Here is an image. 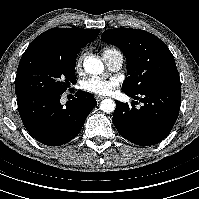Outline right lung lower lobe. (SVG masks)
<instances>
[{
	"label": "right lung lower lobe",
	"mask_w": 199,
	"mask_h": 199,
	"mask_svg": "<svg viewBox=\"0 0 199 199\" xmlns=\"http://www.w3.org/2000/svg\"><path fill=\"white\" fill-rule=\"evenodd\" d=\"M62 94L17 95L21 120L29 134L47 146H60L75 138L97 102L92 94L78 91L76 97L60 103Z\"/></svg>",
	"instance_id": "right-lung-lower-lobe-1"
}]
</instances>
